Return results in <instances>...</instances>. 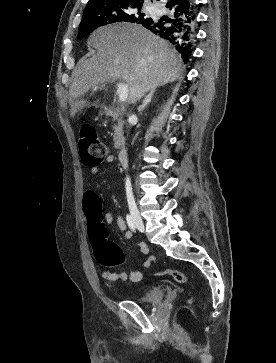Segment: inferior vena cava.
<instances>
[{
  "instance_id": "1",
  "label": "inferior vena cava",
  "mask_w": 276,
  "mask_h": 363,
  "mask_svg": "<svg viewBox=\"0 0 276 363\" xmlns=\"http://www.w3.org/2000/svg\"><path fill=\"white\" fill-rule=\"evenodd\" d=\"M135 120H136V115H131L128 119L129 123H132ZM125 188H126V196H127L128 205L135 207L136 204H135V199L133 196L131 181H130L129 177L126 178Z\"/></svg>"
}]
</instances>
